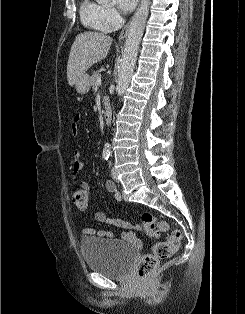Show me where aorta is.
<instances>
[{
    "mask_svg": "<svg viewBox=\"0 0 245 314\" xmlns=\"http://www.w3.org/2000/svg\"><path fill=\"white\" fill-rule=\"evenodd\" d=\"M100 3H106L109 0H97ZM150 0H141L140 5L135 12L128 29V35L125 41L122 59L118 70V81L116 92L122 95L129 86L133 71L137 61L139 45L144 32L145 23L149 15ZM111 146L106 144L105 154H110Z\"/></svg>",
    "mask_w": 245,
    "mask_h": 314,
    "instance_id": "obj_1",
    "label": "aorta"
}]
</instances>
